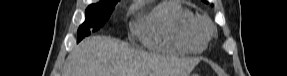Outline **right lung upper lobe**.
<instances>
[{"mask_svg":"<svg viewBox=\"0 0 287 76\" xmlns=\"http://www.w3.org/2000/svg\"><path fill=\"white\" fill-rule=\"evenodd\" d=\"M119 0H101L100 2H118Z\"/></svg>","mask_w":287,"mask_h":76,"instance_id":"1","label":"right lung upper lobe"}]
</instances>
